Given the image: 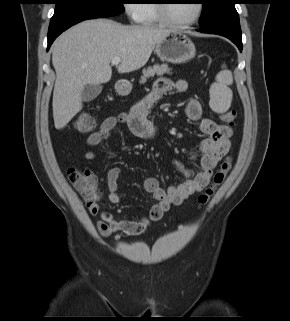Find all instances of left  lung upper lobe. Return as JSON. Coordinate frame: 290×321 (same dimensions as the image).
I'll use <instances>...</instances> for the list:
<instances>
[{"instance_id": "obj_1", "label": "left lung upper lobe", "mask_w": 290, "mask_h": 321, "mask_svg": "<svg viewBox=\"0 0 290 321\" xmlns=\"http://www.w3.org/2000/svg\"><path fill=\"white\" fill-rule=\"evenodd\" d=\"M203 4L200 26L204 27L215 23L222 18L236 12L234 4L237 0H201Z\"/></svg>"}]
</instances>
